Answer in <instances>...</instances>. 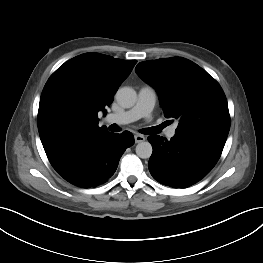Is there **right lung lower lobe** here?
<instances>
[{
	"instance_id": "obj_1",
	"label": "right lung lower lobe",
	"mask_w": 263,
	"mask_h": 263,
	"mask_svg": "<svg viewBox=\"0 0 263 263\" xmlns=\"http://www.w3.org/2000/svg\"><path fill=\"white\" fill-rule=\"evenodd\" d=\"M134 136L107 129L85 131L44 145L54 169L73 185L90 188L105 183L116 171Z\"/></svg>"
}]
</instances>
